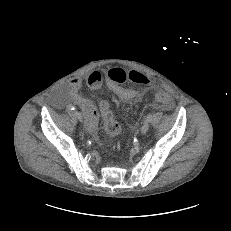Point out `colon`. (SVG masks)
<instances>
[{
	"label": "colon",
	"mask_w": 231,
	"mask_h": 231,
	"mask_svg": "<svg viewBox=\"0 0 231 231\" xmlns=\"http://www.w3.org/2000/svg\"><path fill=\"white\" fill-rule=\"evenodd\" d=\"M107 76L109 81L114 85H120L126 80H130L139 84H146L148 81L145 75L142 73L135 70L126 71L121 67L111 68L108 71ZM155 97L156 100L160 103H167L169 101L168 95L164 92L156 93ZM100 108L105 132L110 137H117L120 134L121 127L120 124L116 121L109 104L106 101H103L100 104Z\"/></svg>",
	"instance_id": "1"
}]
</instances>
